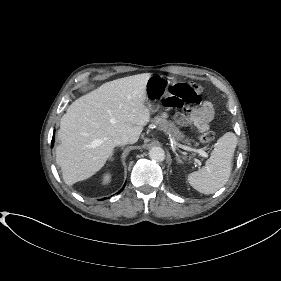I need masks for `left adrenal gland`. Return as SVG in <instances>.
<instances>
[{
  "label": "left adrenal gland",
  "mask_w": 281,
  "mask_h": 281,
  "mask_svg": "<svg viewBox=\"0 0 281 281\" xmlns=\"http://www.w3.org/2000/svg\"><path fill=\"white\" fill-rule=\"evenodd\" d=\"M176 160L178 163H181V164L183 163L182 160L178 157V155H176Z\"/></svg>",
  "instance_id": "1"
}]
</instances>
